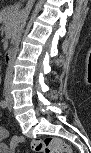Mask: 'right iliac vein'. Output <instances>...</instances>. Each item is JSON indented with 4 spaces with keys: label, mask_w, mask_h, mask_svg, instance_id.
Returning a JSON list of instances; mask_svg holds the SVG:
<instances>
[{
    "label": "right iliac vein",
    "mask_w": 91,
    "mask_h": 153,
    "mask_svg": "<svg viewBox=\"0 0 91 153\" xmlns=\"http://www.w3.org/2000/svg\"><path fill=\"white\" fill-rule=\"evenodd\" d=\"M6 98H7V100H8L9 102H12V98H11V96L9 95V93L6 94Z\"/></svg>",
    "instance_id": "right-iliac-vein-1"
}]
</instances>
